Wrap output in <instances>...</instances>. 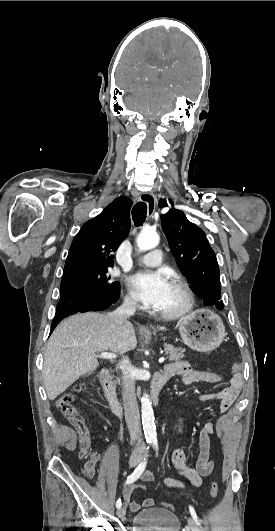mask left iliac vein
Returning <instances> with one entry per match:
<instances>
[{"mask_svg":"<svg viewBox=\"0 0 275 531\" xmlns=\"http://www.w3.org/2000/svg\"><path fill=\"white\" fill-rule=\"evenodd\" d=\"M188 526L191 529V531H200V529L195 523V520L192 517L188 518Z\"/></svg>","mask_w":275,"mask_h":531,"instance_id":"left-iliac-vein-1","label":"left iliac vein"}]
</instances>
